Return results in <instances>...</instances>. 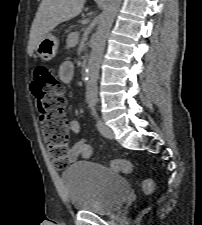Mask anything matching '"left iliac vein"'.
<instances>
[{
  "label": "left iliac vein",
  "instance_id": "1",
  "mask_svg": "<svg viewBox=\"0 0 202 225\" xmlns=\"http://www.w3.org/2000/svg\"><path fill=\"white\" fill-rule=\"evenodd\" d=\"M97 128L99 132L106 138L108 139H113L114 138V133L111 130L109 126H107L103 121L98 120L97 122Z\"/></svg>",
  "mask_w": 202,
  "mask_h": 225
}]
</instances>
